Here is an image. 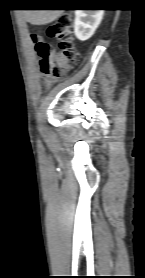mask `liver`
I'll return each instance as SVG.
<instances>
[{
    "mask_svg": "<svg viewBox=\"0 0 145 278\" xmlns=\"http://www.w3.org/2000/svg\"><path fill=\"white\" fill-rule=\"evenodd\" d=\"M24 18L33 25H46L58 19L62 10H23Z\"/></svg>",
    "mask_w": 145,
    "mask_h": 278,
    "instance_id": "1",
    "label": "liver"
}]
</instances>
